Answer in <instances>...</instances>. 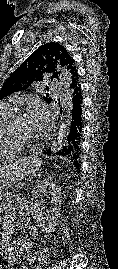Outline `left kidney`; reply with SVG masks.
Returning a JSON list of instances; mask_svg holds the SVG:
<instances>
[{
	"label": "left kidney",
	"instance_id": "1",
	"mask_svg": "<svg viewBox=\"0 0 118 269\" xmlns=\"http://www.w3.org/2000/svg\"><path fill=\"white\" fill-rule=\"evenodd\" d=\"M47 192L51 195V208L48 210V214L44 216L42 209H40L43 202L41 196ZM30 211L33 219L42 231L46 233L55 231V227L61 217V189L56 180L50 177L35 186L32 191Z\"/></svg>",
	"mask_w": 118,
	"mask_h": 269
}]
</instances>
